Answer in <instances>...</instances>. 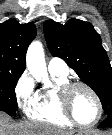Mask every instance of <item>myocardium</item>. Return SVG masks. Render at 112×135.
Wrapping results in <instances>:
<instances>
[{"label": "myocardium", "mask_w": 112, "mask_h": 135, "mask_svg": "<svg viewBox=\"0 0 112 135\" xmlns=\"http://www.w3.org/2000/svg\"><path fill=\"white\" fill-rule=\"evenodd\" d=\"M76 88H84L85 90H87L92 95V97L94 98V100L96 102L97 110H98L97 116L90 123H82V122L78 121L72 111L70 97H71L72 92ZM57 96H58L60 108H61L62 112L64 113V115L74 125H76L78 127H82V128L93 127L100 121V119L103 115V104H102V101H101L99 95L90 85H88L84 82H68V83L62 85L58 89Z\"/></svg>", "instance_id": "myocardium-1"}]
</instances>
